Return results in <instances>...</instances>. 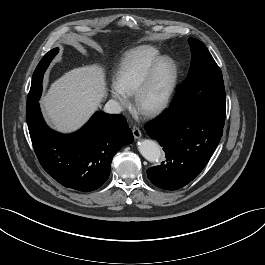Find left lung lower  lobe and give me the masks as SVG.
<instances>
[{
    "instance_id": "0a47b994",
    "label": "left lung lower lobe",
    "mask_w": 265,
    "mask_h": 265,
    "mask_svg": "<svg viewBox=\"0 0 265 265\" xmlns=\"http://www.w3.org/2000/svg\"><path fill=\"white\" fill-rule=\"evenodd\" d=\"M222 124L195 109H169L147 124V134L158 141L166 161L147 170L157 187L177 190L191 182L206 166L223 133Z\"/></svg>"
}]
</instances>
